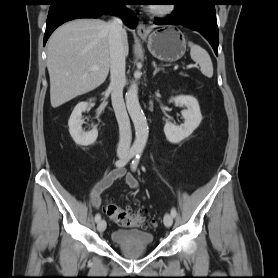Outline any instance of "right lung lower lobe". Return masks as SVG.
<instances>
[{
  "label": "right lung lower lobe",
  "mask_w": 278,
  "mask_h": 278,
  "mask_svg": "<svg viewBox=\"0 0 278 278\" xmlns=\"http://www.w3.org/2000/svg\"><path fill=\"white\" fill-rule=\"evenodd\" d=\"M127 0H54L46 21V31L44 35V45L51 33L61 24L78 18H98L106 13L120 15L124 23L135 28L137 19L133 12L120 6H124ZM120 12V13H118Z\"/></svg>",
  "instance_id": "right-lung-lower-lobe-1"
}]
</instances>
